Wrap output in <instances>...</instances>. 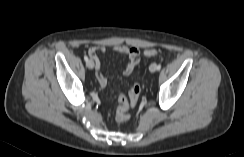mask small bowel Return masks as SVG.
Instances as JSON below:
<instances>
[{"label": "small bowel", "instance_id": "small-bowel-1", "mask_svg": "<svg viewBox=\"0 0 244 157\" xmlns=\"http://www.w3.org/2000/svg\"><path fill=\"white\" fill-rule=\"evenodd\" d=\"M104 51L105 48L102 46L91 47L88 50V55L94 62L96 78L102 87L106 86L107 78L101 71V60L99 53H103ZM113 51L120 54H127L129 56V61L125 69L122 71V74L125 76L130 75L140 61V49L137 47H129L124 44H119L113 47Z\"/></svg>", "mask_w": 244, "mask_h": 157}]
</instances>
